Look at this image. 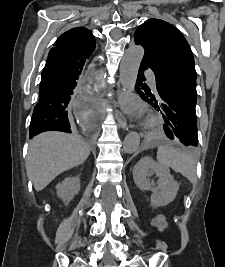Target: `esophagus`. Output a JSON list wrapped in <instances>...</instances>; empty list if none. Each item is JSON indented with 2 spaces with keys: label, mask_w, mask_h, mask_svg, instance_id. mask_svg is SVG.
I'll use <instances>...</instances> for the list:
<instances>
[{
  "label": "esophagus",
  "mask_w": 225,
  "mask_h": 267,
  "mask_svg": "<svg viewBox=\"0 0 225 267\" xmlns=\"http://www.w3.org/2000/svg\"><path fill=\"white\" fill-rule=\"evenodd\" d=\"M125 95V90L122 87H118L117 89V101H116V105L118 107V109L116 110V118L118 121V124L120 125L121 128L126 129L127 127V120L122 112V106H121V102L122 99Z\"/></svg>",
  "instance_id": "1"
}]
</instances>
